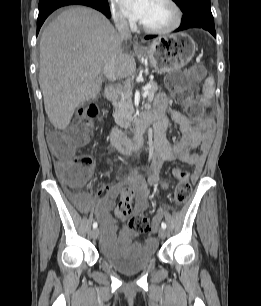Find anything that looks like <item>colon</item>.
<instances>
[{
    "label": "colon",
    "instance_id": "1",
    "mask_svg": "<svg viewBox=\"0 0 261 306\" xmlns=\"http://www.w3.org/2000/svg\"><path fill=\"white\" fill-rule=\"evenodd\" d=\"M202 77V69L194 67L186 71L175 72L167 76L166 83L173 93L174 100L179 104H186L192 100L193 83ZM191 113L198 117L199 110L192 108ZM100 116V109L96 105H87L77 116L72 126L59 133L52 145L56 157L66 164L59 172L60 179L70 187H78L85 183L90 172V160L86 157H76L75 153L83 149L90 141L94 123ZM178 183L173 193V201L177 205L184 204L191 194V184L188 181L187 171H178ZM133 192L126 188L120 202L115 209L119 218L129 216V228L138 234L150 231V224L146 217L132 214Z\"/></svg>",
    "mask_w": 261,
    "mask_h": 306
}]
</instances>
